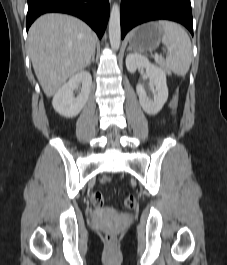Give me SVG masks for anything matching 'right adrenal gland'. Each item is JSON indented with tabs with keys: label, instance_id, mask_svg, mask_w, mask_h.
I'll list each match as a JSON object with an SVG mask.
<instances>
[{
	"label": "right adrenal gland",
	"instance_id": "2a0ac1e0",
	"mask_svg": "<svg viewBox=\"0 0 227 265\" xmlns=\"http://www.w3.org/2000/svg\"><path fill=\"white\" fill-rule=\"evenodd\" d=\"M95 61V53H93L91 61L87 64V67H89L91 65V62Z\"/></svg>",
	"mask_w": 227,
	"mask_h": 265
}]
</instances>
